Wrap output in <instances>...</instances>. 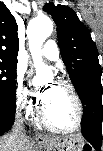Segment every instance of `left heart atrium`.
<instances>
[{"instance_id":"39dd6f15","label":"left heart atrium","mask_w":103,"mask_h":151,"mask_svg":"<svg viewBox=\"0 0 103 151\" xmlns=\"http://www.w3.org/2000/svg\"><path fill=\"white\" fill-rule=\"evenodd\" d=\"M50 94H51V89L50 88H46L45 90H43L42 92L39 93L38 98L39 101L45 105L49 98H50Z\"/></svg>"}]
</instances>
